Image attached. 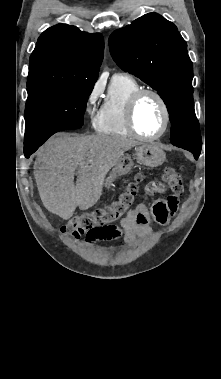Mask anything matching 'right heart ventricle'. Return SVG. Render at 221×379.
I'll list each match as a JSON object with an SVG mask.
<instances>
[{"mask_svg":"<svg viewBox=\"0 0 221 379\" xmlns=\"http://www.w3.org/2000/svg\"><path fill=\"white\" fill-rule=\"evenodd\" d=\"M139 89L138 82L131 76H113L107 94L94 118L97 132L111 136H131L126 122V107L130 97Z\"/></svg>","mask_w":221,"mask_h":379,"instance_id":"1","label":"right heart ventricle"}]
</instances>
